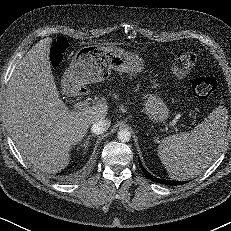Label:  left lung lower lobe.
<instances>
[{
	"label": "left lung lower lobe",
	"mask_w": 231,
	"mask_h": 231,
	"mask_svg": "<svg viewBox=\"0 0 231 231\" xmlns=\"http://www.w3.org/2000/svg\"><path fill=\"white\" fill-rule=\"evenodd\" d=\"M139 164H140L141 170L143 171L144 175L148 179H150L154 182L165 184V185H171V186L172 185H180V184L184 183V182H180V181L165 180V179H160V178L154 177L148 171H146V169L142 166L140 160H139Z\"/></svg>",
	"instance_id": "obj_1"
}]
</instances>
